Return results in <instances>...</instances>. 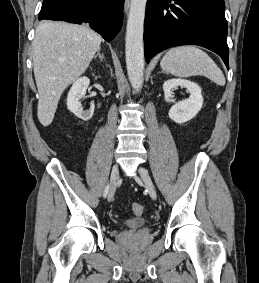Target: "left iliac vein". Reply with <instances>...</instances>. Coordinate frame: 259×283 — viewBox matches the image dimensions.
Segmentation results:
<instances>
[{"mask_svg":"<svg viewBox=\"0 0 259 283\" xmlns=\"http://www.w3.org/2000/svg\"><path fill=\"white\" fill-rule=\"evenodd\" d=\"M138 172L145 184V187L147 188L148 192H149V195L151 196L152 199L156 200L157 199V193H156V190H155V187L153 185V182L150 178V175L148 173V171L143 168V167H140L138 169Z\"/></svg>","mask_w":259,"mask_h":283,"instance_id":"obj_1","label":"left iliac vein"}]
</instances>
